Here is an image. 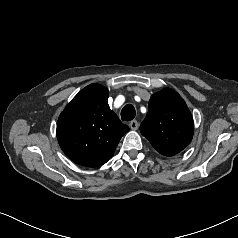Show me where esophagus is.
I'll list each match as a JSON object with an SVG mask.
<instances>
[{
	"label": "esophagus",
	"instance_id": "34e87169",
	"mask_svg": "<svg viewBox=\"0 0 238 238\" xmlns=\"http://www.w3.org/2000/svg\"><path fill=\"white\" fill-rule=\"evenodd\" d=\"M129 126L132 130H137L138 129V122L136 120H132L130 122Z\"/></svg>",
	"mask_w": 238,
	"mask_h": 238
}]
</instances>
